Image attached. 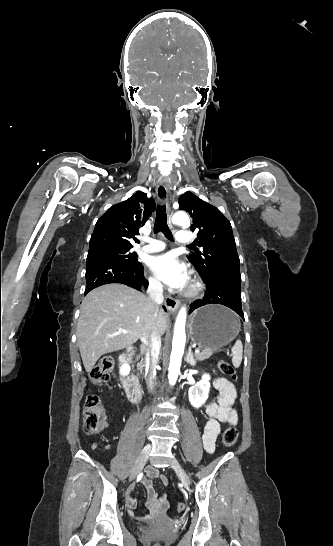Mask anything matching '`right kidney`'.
<instances>
[{
	"label": "right kidney",
	"mask_w": 333,
	"mask_h": 546,
	"mask_svg": "<svg viewBox=\"0 0 333 546\" xmlns=\"http://www.w3.org/2000/svg\"><path fill=\"white\" fill-rule=\"evenodd\" d=\"M130 373V366L128 364H123L120 368V374L126 376Z\"/></svg>",
	"instance_id": "1"
}]
</instances>
